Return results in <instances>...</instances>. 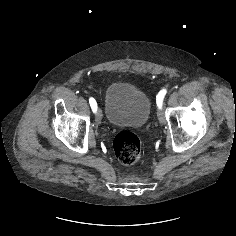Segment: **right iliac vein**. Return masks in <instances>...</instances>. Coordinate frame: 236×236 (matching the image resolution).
Returning a JSON list of instances; mask_svg holds the SVG:
<instances>
[{
	"label": "right iliac vein",
	"instance_id": "1",
	"mask_svg": "<svg viewBox=\"0 0 236 236\" xmlns=\"http://www.w3.org/2000/svg\"><path fill=\"white\" fill-rule=\"evenodd\" d=\"M96 120L97 121H101L102 120V113H101V110H98L96 112Z\"/></svg>",
	"mask_w": 236,
	"mask_h": 236
}]
</instances>
